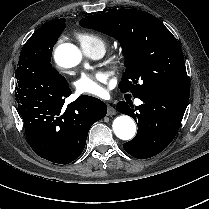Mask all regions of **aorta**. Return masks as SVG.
Here are the masks:
<instances>
[{
  "instance_id": "762f6f07",
  "label": "aorta",
  "mask_w": 209,
  "mask_h": 209,
  "mask_svg": "<svg viewBox=\"0 0 209 209\" xmlns=\"http://www.w3.org/2000/svg\"><path fill=\"white\" fill-rule=\"evenodd\" d=\"M81 60L82 54L73 44H61L55 51V61L61 67H75L81 62ZM112 127L115 135L122 140H130L136 133V124L134 120L127 115L116 117L113 121Z\"/></svg>"
}]
</instances>
